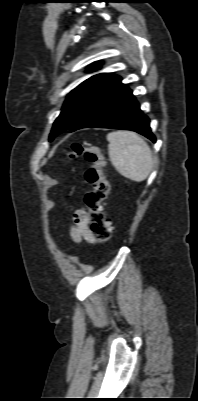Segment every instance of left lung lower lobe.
I'll use <instances>...</instances> for the list:
<instances>
[{"label": "left lung lower lobe", "mask_w": 198, "mask_h": 401, "mask_svg": "<svg viewBox=\"0 0 198 401\" xmlns=\"http://www.w3.org/2000/svg\"><path fill=\"white\" fill-rule=\"evenodd\" d=\"M86 127H104L136 131L153 142L149 119L140 110L132 90L115 76L76 119L69 132Z\"/></svg>", "instance_id": "obj_1"}]
</instances>
